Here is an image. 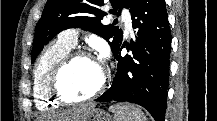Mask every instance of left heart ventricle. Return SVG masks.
<instances>
[{"label": "left heart ventricle", "mask_w": 217, "mask_h": 121, "mask_svg": "<svg viewBox=\"0 0 217 121\" xmlns=\"http://www.w3.org/2000/svg\"><path fill=\"white\" fill-rule=\"evenodd\" d=\"M103 70L101 64L90 58L75 61L62 75V91L72 98L90 95L99 85Z\"/></svg>", "instance_id": "obj_1"}]
</instances>
